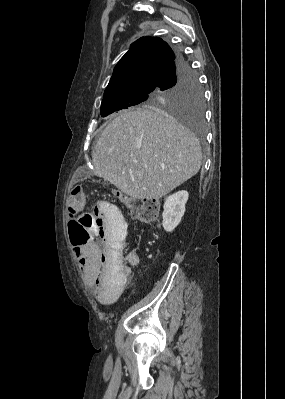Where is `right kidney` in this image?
I'll return each instance as SVG.
<instances>
[{"mask_svg": "<svg viewBox=\"0 0 285 399\" xmlns=\"http://www.w3.org/2000/svg\"><path fill=\"white\" fill-rule=\"evenodd\" d=\"M187 191H178L168 196L164 203L163 211V228L166 232H172L174 228L180 223L181 218L185 213V204L188 200Z\"/></svg>", "mask_w": 285, "mask_h": 399, "instance_id": "right-kidney-1", "label": "right kidney"}]
</instances>
